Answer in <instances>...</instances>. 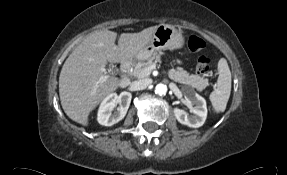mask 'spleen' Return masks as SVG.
<instances>
[{"label": "spleen", "mask_w": 287, "mask_h": 175, "mask_svg": "<svg viewBox=\"0 0 287 175\" xmlns=\"http://www.w3.org/2000/svg\"><path fill=\"white\" fill-rule=\"evenodd\" d=\"M218 72L217 87L209 98L216 112H224L231 93V71L226 59L219 60Z\"/></svg>", "instance_id": "obj_1"}]
</instances>
